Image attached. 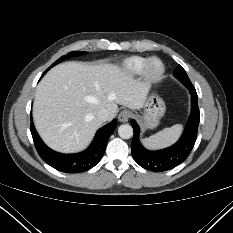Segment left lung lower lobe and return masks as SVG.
<instances>
[{"label": "left lung lower lobe", "mask_w": 233, "mask_h": 233, "mask_svg": "<svg viewBox=\"0 0 233 233\" xmlns=\"http://www.w3.org/2000/svg\"><path fill=\"white\" fill-rule=\"evenodd\" d=\"M186 87L191 94V114L181 138L173 146L159 151L145 149L139 141V126L134 120H131L134 130L132 156L141 167L157 172L169 170L182 163L190 154L197 138L200 113L194 86L189 84Z\"/></svg>", "instance_id": "left-lung-lower-lobe-1"}]
</instances>
